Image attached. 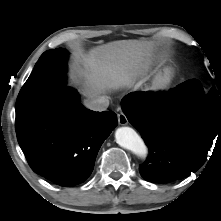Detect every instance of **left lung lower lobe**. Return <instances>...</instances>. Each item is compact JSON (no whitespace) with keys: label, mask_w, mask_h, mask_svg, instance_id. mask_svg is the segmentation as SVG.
Here are the masks:
<instances>
[{"label":"left lung lower lobe","mask_w":221,"mask_h":221,"mask_svg":"<svg viewBox=\"0 0 221 221\" xmlns=\"http://www.w3.org/2000/svg\"><path fill=\"white\" fill-rule=\"evenodd\" d=\"M200 87L188 80L168 93L132 92L121 107L150 150L139 167L150 182L168 183L189 176L205 162L213 140H221V104L183 103L177 97Z\"/></svg>","instance_id":"0a47b994"}]
</instances>
